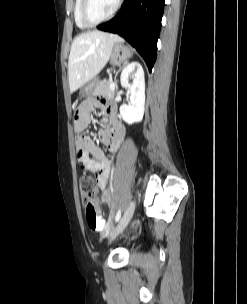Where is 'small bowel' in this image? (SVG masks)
I'll return each mask as SVG.
<instances>
[{"label":"small bowel","mask_w":247,"mask_h":304,"mask_svg":"<svg viewBox=\"0 0 247 304\" xmlns=\"http://www.w3.org/2000/svg\"><path fill=\"white\" fill-rule=\"evenodd\" d=\"M94 106L107 112L108 117L104 119L110 126L99 132L101 142L110 150L116 151L120 147L125 136V127L116 118V108L104 99L97 102L87 101L81 104L75 114V131L82 133L90 124V114ZM77 157L82 168L91 172L96 180L97 186L104 190L107 187L112 162L104 152L87 135H81L76 141Z\"/></svg>","instance_id":"1"}]
</instances>
